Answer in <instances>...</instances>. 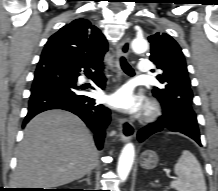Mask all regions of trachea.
<instances>
[{"label":"trachea","mask_w":218,"mask_h":191,"mask_svg":"<svg viewBox=\"0 0 218 191\" xmlns=\"http://www.w3.org/2000/svg\"><path fill=\"white\" fill-rule=\"evenodd\" d=\"M120 64L122 69L124 70L125 73L129 75H134V70L132 67L127 63L126 59L122 56L120 57Z\"/></svg>","instance_id":"1"}]
</instances>
